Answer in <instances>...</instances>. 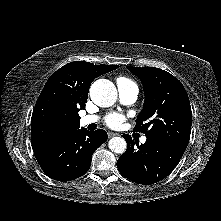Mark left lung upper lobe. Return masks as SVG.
I'll list each match as a JSON object with an SVG mask.
<instances>
[{"label": "left lung upper lobe", "mask_w": 221, "mask_h": 221, "mask_svg": "<svg viewBox=\"0 0 221 221\" xmlns=\"http://www.w3.org/2000/svg\"><path fill=\"white\" fill-rule=\"evenodd\" d=\"M127 69L142 81L145 92L144 108L136 119L134 131L185 151L190 138L192 112L182 83L159 68L128 66Z\"/></svg>", "instance_id": "5c2ea615"}]
</instances>
